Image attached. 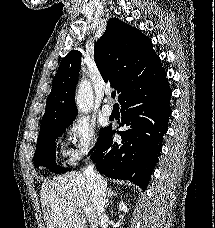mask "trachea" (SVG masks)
<instances>
[{
    "instance_id": "trachea-1",
    "label": "trachea",
    "mask_w": 215,
    "mask_h": 228,
    "mask_svg": "<svg viewBox=\"0 0 215 228\" xmlns=\"http://www.w3.org/2000/svg\"><path fill=\"white\" fill-rule=\"evenodd\" d=\"M111 96H112V98H115V96H116V91L112 92V93H111Z\"/></svg>"
}]
</instances>
